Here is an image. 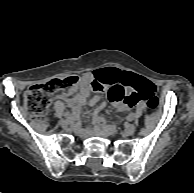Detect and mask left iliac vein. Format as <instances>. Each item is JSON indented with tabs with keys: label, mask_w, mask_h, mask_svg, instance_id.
Listing matches in <instances>:
<instances>
[{
	"label": "left iliac vein",
	"mask_w": 194,
	"mask_h": 193,
	"mask_svg": "<svg viewBox=\"0 0 194 193\" xmlns=\"http://www.w3.org/2000/svg\"><path fill=\"white\" fill-rule=\"evenodd\" d=\"M133 115V118H134V114ZM136 130V125L135 124H129L125 127V130H124V134L125 135H132Z\"/></svg>",
	"instance_id": "1"
}]
</instances>
